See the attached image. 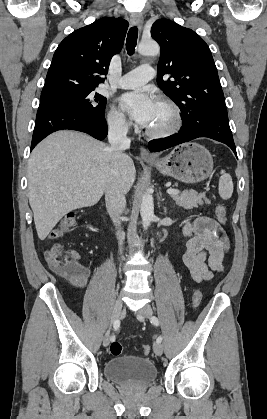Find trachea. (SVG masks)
<instances>
[{"label": "trachea", "mask_w": 267, "mask_h": 419, "mask_svg": "<svg viewBox=\"0 0 267 419\" xmlns=\"http://www.w3.org/2000/svg\"><path fill=\"white\" fill-rule=\"evenodd\" d=\"M138 29L137 27H131L126 39V50L129 55H133L137 44Z\"/></svg>", "instance_id": "3493384b"}]
</instances>
